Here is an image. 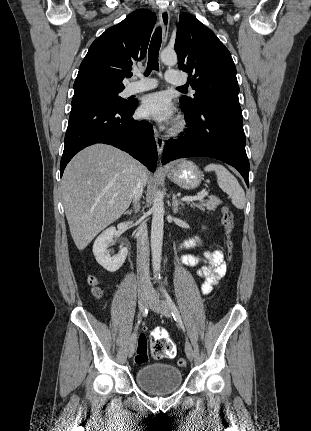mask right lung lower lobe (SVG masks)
Masks as SVG:
<instances>
[{"label":"right lung lower lobe","instance_id":"1","mask_svg":"<svg viewBox=\"0 0 311 431\" xmlns=\"http://www.w3.org/2000/svg\"><path fill=\"white\" fill-rule=\"evenodd\" d=\"M136 107L137 102L130 108L104 104L72 108L60 162L61 176L76 153L95 143L110 144L126 151L154 172L157 148L153 128L146 121L132 118Z\"/></svg>","mask_w":311,"mask_h":431}]
</instances>
